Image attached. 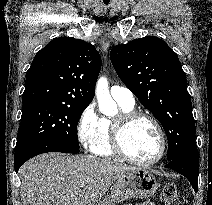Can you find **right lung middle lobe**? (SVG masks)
<instances>
[{
	"mask_svg": "<svg viewBox=\"0 0 212 205\" xmlns=\"http://www.w3.org/2000/svg\"><path fill=\"white\" fill-rule=\"evenodd\" d=\"M87 106L46 100L23 102L15 150L41 140L60 141L79 147L77 124Z\"/></svg>",
	"mask_w": 212,
	"mask_h": 205,
	"instance_id": "right-lung-middle-lobe-1",
	"label": "right lung middle lobe"
}]
</instances>
